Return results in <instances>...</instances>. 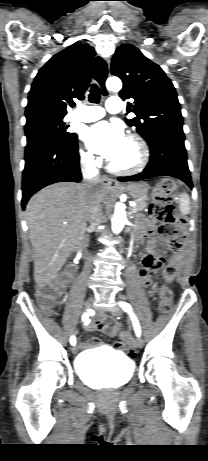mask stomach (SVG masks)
Instances as JSON below:
<instances>
[{
  "instance_id": "obj_1",
  "label": "stomach",
  "mask_w": 208,
  "mask_h": 461,
  "mask_svg": "<svg viewBox=\"0 0 208 461\" xmlns=\"http://www.w3.org/2000/svg\"><path fill=\"white\" fill-rule=\"evenodd\" d=\"M122 189L128 192L134 199H139L147 196L150 187L145 182H133L123 186Z\"/></svg>"
}]
</instances>
